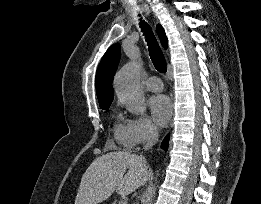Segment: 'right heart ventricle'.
<instances>
[{
    "mask_svg": "<svg viewBox=\"0 0 261 204\" xmlns=\"http://www.w3.org/2000/svg\"><path fill=\"white\" fill-rule=\"evenodd\" d=\"M113 130H114L115 139L120 144L124 146H131L128 122L125 121L120 114L116 117V122L114 124Z\"/></svg>",
    "mask_w": 261,
    "mask_h": 204,
    "instance_id": "right-heart-ventricle-1",
    "label": "right heart ventricle"
}]
</instances>
